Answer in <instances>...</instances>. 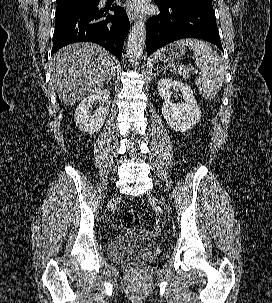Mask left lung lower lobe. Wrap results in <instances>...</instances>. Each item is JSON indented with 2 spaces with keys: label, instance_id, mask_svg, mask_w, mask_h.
<instances>
[{
  "label": "left lung lower lobe",
  "instance_id": "1",
  "mask_svg": "<svg viewBox=\"0 0 272 303\" xmlns=\"http://www.w3.org/2000/svg\"><path fill=\"white\" fill-rule=\"evenodd\" d=\"M160 14L149 18L146 27L147 54L182 38H200L223 51L213 7H166L155 0Z\"/></svg>",
  "mask_w": 272,
  "mask_h": 303
}]
</instances>
